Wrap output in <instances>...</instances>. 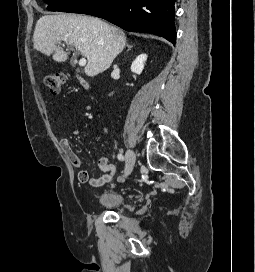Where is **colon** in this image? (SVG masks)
<instances>
[{
	"mask_svg": "<svg viewBox=\"0 0 255 272\" xmlns=\"http://www.w3.org/2000/svg\"><path fill=\"white\" fill-rule=\"evenodd\" d=\"M63 82L64 75L60 72H48L43 76V84L52 95L60 93Z\"/></svg>",
	"mask_w": 255,
	"mask_h": 272,
	"instance_id": "colon-1",
	"label": "colon"
}]
</instances>
